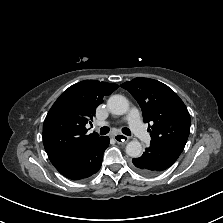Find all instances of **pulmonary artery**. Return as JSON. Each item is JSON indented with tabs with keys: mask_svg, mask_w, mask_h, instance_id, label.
Wrapping results in <instances>:
<instances>
[{
	"mask_svg": "<svg viewBox=\"0 0 223 223\" xmlns=\"http://www.w3.org/2000/svg\"><path fill=\"white\" fill-rule=\"evenodd\" d=\"M127 122L130 125V128L134 132V134L143 142L149 140V135L147 131L145 130L141 120H140V115L139 111L136 108H132L127 117H126ZM99 125H105V123H99Z\"/></svg>",
	"mask_w": 223,
	"mask_h": 223,
	"instance_id": "pulmonary-artery-1",
	"label": "pulmonary artery"
}]
</instances>
